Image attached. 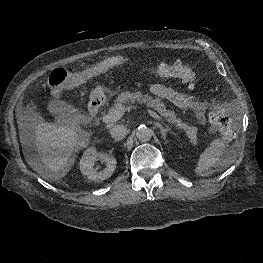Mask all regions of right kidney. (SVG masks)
I'll return each instance as SVG.
<instances>
[{
	"label": "right kidney",
	"instance_id": "right-kidney-1",
	"mask_svg": "<svg viewBox=\"0 0 263 263\" xmlns=\"http://www.w3.org/2000/svg\"><path fill=\"white\" fill-rule=\"evenodd\" d=\"M98 160L106 162V167L102 171H97L94 168V164ZM116 163L115 157L107 153L96 152L95 148L91 147L85 151L80 160V170L89 180L100 181L109 178L113 174Z\"/></svg>",
	"mask_w": 263,
	"mask_h": 263
}]
</instances>
